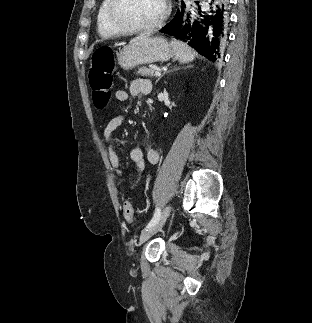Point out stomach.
Wrapping results in <instances>:
<instances>
[{
    "mask_svg": "<svg viewBox=\"0 0 312 323\" xmlns=\"http://www.w3.org/2000/svg\"><path fill=\"white\" fill-rule=\"evenodd\" d=\"M172 56L173 50L163 36L159 38L141 36V38H134L130 44L121 48L117 54V60L123 70H132L143 64L168 62Z\"/></svg>",
    "mask_w": 312,
    "mask_h": 323,
    "instance_id": "0dacf381",
    "label": "stomach"
}]
</instances>
